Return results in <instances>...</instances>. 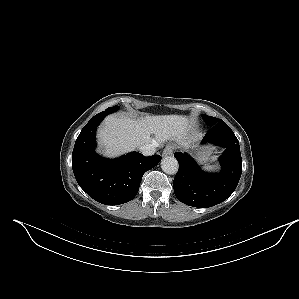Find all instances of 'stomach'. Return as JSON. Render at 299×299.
Segmentation results:
<instances>
[{"mask_svg": "<svg viewBox=\"0 0 299 299\" xmlns=\"http://www.w3.org/2000/svg\"><path fill=\"white\" fill-rule=\"evenodd\" d=\"M210 155H211L210 151H204L199 154L198 158L200 161H206L209 159Z\"/></svg>", "mask_w": 299, "mask_h": 299, "instance_id": "obj_1", "label": "stomach"}]
</instances>
